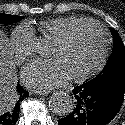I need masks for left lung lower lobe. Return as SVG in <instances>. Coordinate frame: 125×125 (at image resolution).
<instances>
[{
	"label": "left lung lower lobe",
	"instance_id": "left-lung-lower-lobe-1",
	"mask_svg": "<svg viewBox=\"0 0 125 125\" xmlns=\"http://www.w3.org/2000/svg\"><path fill=\"white\" fill-rule=\"evenodd\" d=\"M125 92V74L110 79L86 82L73 90L75 107L59 125H106L121 108Z\"/></svg>",
	"mask_w": 125,
	"mask_h": 125
}]
</instances>
